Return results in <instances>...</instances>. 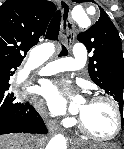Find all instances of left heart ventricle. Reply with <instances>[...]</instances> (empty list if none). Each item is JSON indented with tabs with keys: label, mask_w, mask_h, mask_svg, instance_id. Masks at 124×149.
<instances>
[{
	"label": "left heart ventricle",
	"mask_w": 124,
	"mask_h": 149,
	"mask_svg": "<svg viewBox=\"0 0 124 149\" xmlns=\"http://www.w3.org/2000/svg\"><path fill=\"white\" fill-rule=\"evenodd\" d=\"M76 112L85 125L98 136H110L116 129V116L107 102H83L76 107Z\"/></svg>",
	"instance_id": "1"
}]
</instances>
